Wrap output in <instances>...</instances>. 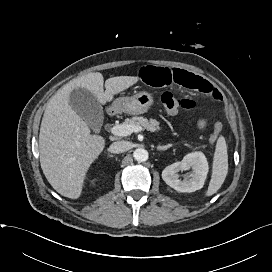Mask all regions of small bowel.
<instances>
[{
	"label": "small bowel",
	"instance_id": "1",
	"mask_svg": "<svg viewBox=\"0 0 272 272\" xmlns=\"http://www.w3.org/2000/svg\"><path fill=\"white\" fill-rule=\"evenodd\" d=\"M139 77L143 83L152 87L179 86L209 94L215 99L221 98L218 90L207 80L182 69L144 66L140 70ZM206 126V119H200L197 122L199 129H204Z\"/></svg>",
	"mask_w": 272,
	"mask_h": 272
}]
</instances>
